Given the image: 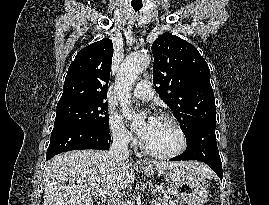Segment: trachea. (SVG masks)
<instances>
[{"mask_svg": "<svg viewBox=\"0 0 269 205\" xmlns=\"http://www.w3.org/2000/svg\"><path fill=\"white\" fill-rule=\"evenodd\" d=\"M135 12H139L142 8V5H132Z\"/></svg>", "mask_w": 269, "mask_h": 205, "instance_id": "3493384b", "label": "trachea"}]
</instances>
